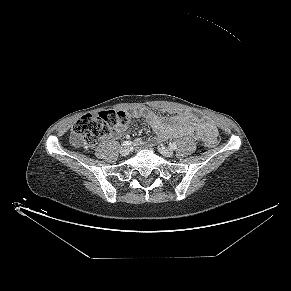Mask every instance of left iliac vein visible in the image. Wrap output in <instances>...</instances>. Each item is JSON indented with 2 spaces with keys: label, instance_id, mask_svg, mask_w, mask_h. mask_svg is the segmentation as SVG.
<instances>
[{
  "label": "left iliac vein",
  "instance_id": "1",
  "mask_svg": "<svg viewBox=\"0 0 291 291\" xmlns=\"http://www.w3.org/2000/svg\"><path fill=\"white\" fill-rule=\"evenodd\" d=\"M159 152L166 157H171L173 155V150L167 147H158Z\"/></svg>",
  "mask_w": 291,
  "mask_h": 291
}]
</instances>
